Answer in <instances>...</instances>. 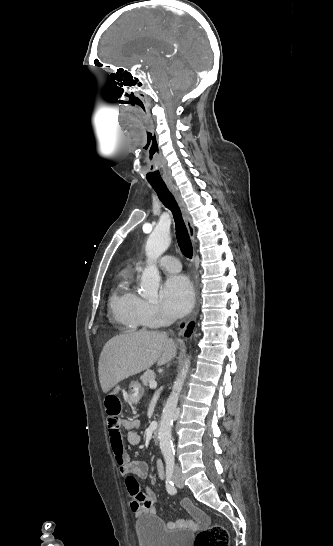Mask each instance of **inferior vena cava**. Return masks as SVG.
Wrapping results in <instances>:
<instances>
[{
    "mask_svg": "<svg viewBox=\"0 0 333 546\" xmlns=\"http://www.w3.org/2000/svg\"><path fill=\"white\" fill-rule=\"evenodd\" d=\"M169 323H171V322H170L169 320H167V321H166V324H169Z\"/></svg>",
    "mask_w": 333,
    "mask_h": 546,
    "instance_id": "obj_1",
    "label": "inferior vena cava"
}]
</instances>
